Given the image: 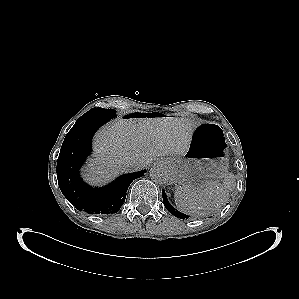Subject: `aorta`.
Here are the masks:
<instances>
[{"instance_id":"1","label":"aorta","mask_w":299,"mask_h":299,"mask_svg":"<svg viewBox=\"0 0 299 299\" xmlns=\"http://www.w3.org/2000/svg\"><path fill=\"white\" fill-rule=\"evenodd\" d=\"M150 177L154 182L166 183L170 179V171L165 165H156L151 168Z\"/></svg>"}]
</instances>
